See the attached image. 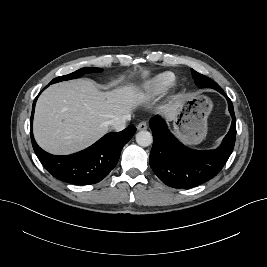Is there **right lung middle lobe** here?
Instances as JSON below:
<instances>
[{
	"label": "right lung middle lobe",
	"mask_w": 267,
	"mask_h": 267,
	"mask_svg": "<svg viewBox=\"0 0 267 267\" xmlns=\"http://www.w3.org/2000/svg\"><path fill=\"white\" fill-rule=\"evenodd\" d=\"M101 71H102L101 68H93V67L81 68V69H79V70H77L71 74L57 77V78L53 79L49 84H53V83H57L60 81H65V80H70V79H76V78L81 77L82 75H84L86 73H95V72H101Z\"/></svg>",
	"instance_id": "obj_1"
}]
</instances>
